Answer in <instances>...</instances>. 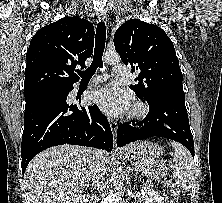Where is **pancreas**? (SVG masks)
<instances>
[{
	"mask_svg": "<svg viewBox=\"0 0 222 203\" xmlns=\"http://www.w3.org/2000/svg\"><path fill=\"white\" fill-rule=\"evenodd\" d=\"M139 163L141 165L138 167V171H141L143 174L159 180L167 174V168L164 162L158 160H142Z\"/></svg>",
	"mask_w": 222,
	"mask_h": 203,
	"instance_id": "1",
	"label": "pancreas"
}]
</instances>
